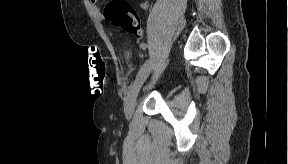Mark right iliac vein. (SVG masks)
<instances>
[{
  "mask_svg": "<svg viewBox=\"0 0 288 164\" xmlns=\"http://www.w3.org/2000/svg\"><path fill=\"white\" fill-rule=\"evenodd\" d=\"M152 65H153L152 60L147 61L139 71L134 84L131 86L124 108L125 115L128 119L131 118L134 112L138 93L142 85L144 84L145 80L147 79L148 75L150 74Z\"/></svg>",
  "mask_w": 288,
  "mask_h": 164,
  "instance_id": "1",
  "label": "right iliac vein"
}]
</instances>
